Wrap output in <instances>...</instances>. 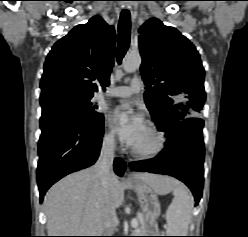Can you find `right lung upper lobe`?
Listing matches in <instances>:
<instances>
[{
  "mask_svg": "<svg viewBox=\"0 0 248 237\" xmlns=\"http://www.w3.org/2000/svg\"><path fill=\"white\" fill-rule=\"evenodd\" d=\"M116 34L101 17L74 27L49 52L41 78L40 103L58 97L91 99L109 85Z\"/></svg>",
  "mask_w": 248,
  "mask_h": 237,
  "instance_id": "cb5924a9",
  "label": "right lung upper lobe"
}]
</instances>
